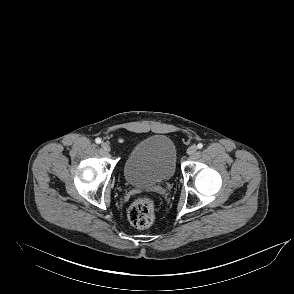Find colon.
Returning a JSON list of instances; mask_svg holds the SVG:
<instances>
[{
	"instance_id": "colon-1",
	"label": "colon",
	"mask_w": 294,
	"mask_h": 294,
	"mask_svg": "<svg viewBox=\"0 0 294 294\" xmlns=\"http://www.w3.org/2000/svg\"><path fill=\"white\" fill-rule=\"evenodd\" d=\"M128 219L136 228L143 229L149 227L155 219L153 200L146 196L136 199L129 208Z\"/></svg>"
}]
</instances>
